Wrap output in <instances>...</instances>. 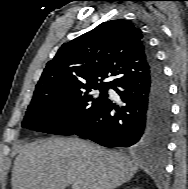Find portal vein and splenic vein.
<instances>
[{"instance_id": "obj_1", "label": "portal vein and splenic vein", "mask_w": 188, "mask_h": 189, "mask_svg": "<svg viewBox=\"0 0 188 189\" xmlns=\"http://www.w3.org/2000/svg\"><path fill=\"white\" fill-rule=\"evenodd\" d=\"M72 189H80V186L79 184H72Z\"/></svg>"}]
</instances>
